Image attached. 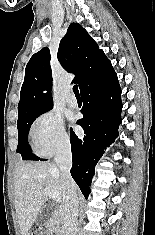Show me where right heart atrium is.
Listing matches in <instances>:
<instances>
[{"mask_svg":"<svg viewBox=\"0 0 155 235\" xmlns=\"http://www.w3.org/2000/svg\"><path fill=\"white\" fill-rule=\"evenodd\" d=\"M30 136L36 151L44 156H51L70 147V137L63 119L52 110L43 112L34 120Z\"/></svg>","mask_w":155,"mask_h":235,"instance_id":"1","label":"right heart atrium"}]
</instances>
